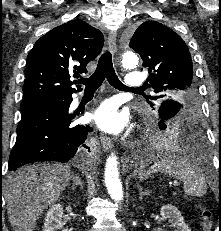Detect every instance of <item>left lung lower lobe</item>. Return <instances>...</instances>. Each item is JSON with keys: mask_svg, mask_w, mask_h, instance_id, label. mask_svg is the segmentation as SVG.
Wrapping results in <instances>:
<instances>
[{"mask_svg": "<svg viewBox=\"0 0 221 231\" xmlns=\"http://www.w3.org/2000/svg\"><path fill=\"white\" fill-rule=\"evenodd\" d=\"M167 102V101H166ZM170 117H164L159 124L160 128L165 129L164 121ZM203 129L200 117L192 114L189 118L188 125L181 131L174 130L168 134V138L174 143L186 146L188 152L203 153Z\"/></svg>", "mask_w": 221, "mask_h": 231, "instance_id": "1", "label": "left lung lower lobe"}]
</instances>
